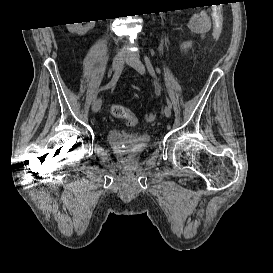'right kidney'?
Instances as JSON below:
<instances>
[{"label": "right kidney", "mask_w": 273, "mask_h": 273, "mask_svg": "<svg viewBox=\"0 0 273 273\" xmlns=\"http://www.w3.org/2000/svg\"><path fill=\"white\" fill-rule=\"evenodd\" d=\"M75 25L76 26L70 27L69 29L75 33L83 35V34L87 33L88 30H90L94 27L95 21H90L85 26H82L81 23H76Z\"/></svg>", "instance_id": "ca27d5eb"}]
</instances>
